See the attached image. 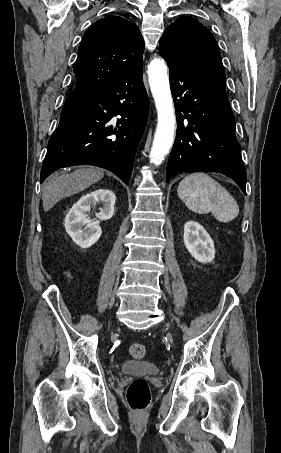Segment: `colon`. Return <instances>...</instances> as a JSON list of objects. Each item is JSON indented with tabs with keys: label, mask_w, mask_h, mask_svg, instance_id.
<instances>
[{
	"label": "colon",
	"mask_w": 281,
	"mask_h": 453,
	"mask_svg": "<svg viewBox=\"0 0 281 453\" xmlns=\"http://www.w3.org/2000/svg\"><path fill=\"white\" fill-rule=\"evenodd\" d=\"M146 353L147 349L145 345H133L130 349L131 357L134 360L144 359ZM126 399L129 410H131L132 412H146L150 402V394L147 381L142 378L134 379L127 388Z\"/></svg>",
	"instance_id": "5ec220e1"
}]
</instances>
